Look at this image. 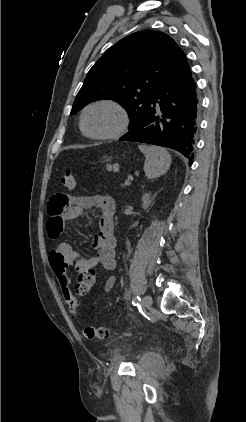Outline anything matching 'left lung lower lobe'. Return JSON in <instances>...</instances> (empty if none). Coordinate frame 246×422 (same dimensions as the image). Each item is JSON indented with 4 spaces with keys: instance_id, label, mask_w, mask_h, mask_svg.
Masks as SVG:
<instances>
[{
    "instance_id": "1",
    "label": "left lung lower lobe",
    "mask_w": 246,
    "mask_h": 422,
    "mask_svg": "<svg viewBox=\"0 0 246 422\" xmlns=\"http://www.w3.org/2000/svg\"><path fill=\"white\" fill-rule=\"evenodd\" d=\"M200 97L186 55L155 90L142 121L120 141L168 147L192 164L199 128Z\"/></svg>"
}]
</instances>
